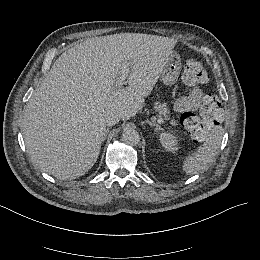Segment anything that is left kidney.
<instances>
[{"label":"left kidney","instance_id":"1","mask_svg":"<svg viewBox=\"0 0 260 260\" xmlns=\"http://www.w3.org/2000/svg\"><path fill=\"white\" fill-rule=\"evenodd\" d=\"M159 141L167 151L175 153L178 150L177 137L170 132H162L159 135Z\"/></svg>","mask_w":260,"mask_h":260}]
</instances>
